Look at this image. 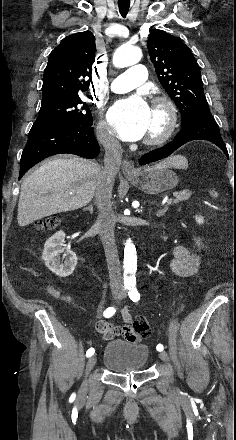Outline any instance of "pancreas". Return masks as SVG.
<instances>
[{
	"label": "pancreas",
	"instance_id": "1",
	"mask_svg": "<svg viewBox=\"0 0 236 440\" xmlns=\"http://www.w3.org/2000/svg\"><path fill=\"white\" fill-rule=\"evenodd\" d=\"M191 194L192 193L189 190H183V191L174 193V196L176 197L174 199V203H179L181 201L188 200L190 198Z\"/></svg>",
	"mask_w": 236,
	"mask_h": 440
}]
</instances>
